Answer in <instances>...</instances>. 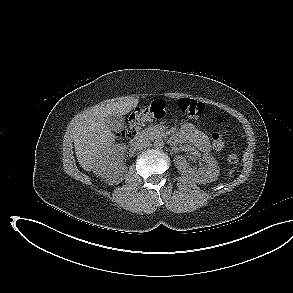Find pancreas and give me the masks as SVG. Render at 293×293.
Here are the masks:
<instances>
[{
  "mask_svg": "<svg viewBox=\"0 0 293 293\" xmlns=\"http://www.w3.org/2000/svg\"><path fill=\"white\" fill-rule=\"evenodd\" d=\"M142 134L149 139H155L164 135L158 126L148 127L142 131Z\"/></svg>",
  "mask_w": 293,
  "mask_h": 293,
  "instance_id": "pancreas-1",
  "label": "pancreas"
}]
</instances>
